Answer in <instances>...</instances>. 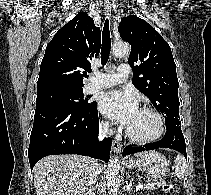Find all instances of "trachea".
Listing matches in <instances>:
<instances>
[{
	"label": "trachea",
	"instance_id": "3493384b",
	"mask_svg": "<svg viewBox=\"0 0 211 195\" xmlns=\"http://www.w3.org/2000/svg\"><path fill=\"white\" fill-rule=\"evenodd\" d=\"M111 50V38L109 31V20H105V24L102 32V47H101V63L104 66L108 60Z\"/></svg>",
	"mask_w": 211,
	"mask_h": 195
}]
</instances>
